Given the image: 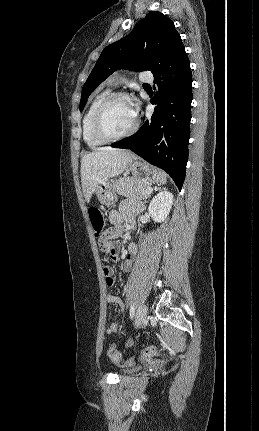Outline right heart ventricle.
Listing matches in <instances>:
<instances>
[{"instance_id":"right-heart-ventricle-1","label":"right heart ventricle","mask_w":259,"mask_h":431,"mask_svg":"<svg viewBox=\"0 0 259 431\" xmlns=\"http://www.w3.org/2000/svg\"><path fill=\"white\" fill-rule=\"evenodd\" d=\"M110 94L109 90L98 93L90 102L82 119V135L85 143L90 148H97L104 145L106 142L96 138L92 131V118L95 110L102 100Z\"/></svg>"}]
</instances>
